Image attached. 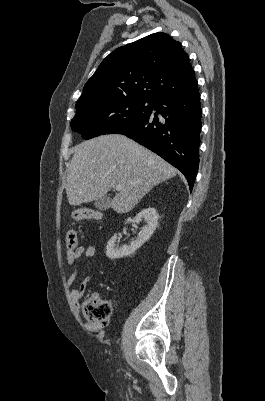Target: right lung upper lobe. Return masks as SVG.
<instances>
[{
    "instance_id": "obj_1",
    "label": "right lung upper lobe",
    "mask_w": 265,
    "mask_h": 401,
    "mask_svg": "<svg viewBox=\"0 0 265 401\" xmlns=\"http://www.w3.org/2000/svg\"><path fill=\"white\" fill-rule=\"evenodd\" d=\"M197 83L187 53L166 33H154L109 54L87 81L76 106L104 97L157 101Z\"/></svg>"
}]
</instances>
